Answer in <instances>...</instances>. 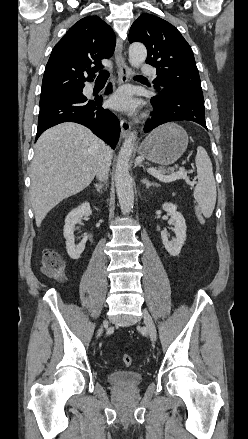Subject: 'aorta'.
<instances>
[{
  "instance_id": "aorta-1",
  "label": "aorta",
  "mask_w": 248,
  "mask_h": 439,
  "mask_svg": "<svg viewBox=\"0 0 248 439\" xmlns=\"http://www.w3.org/2000/svg\"><path fill=\"white\" fill-rule=\"evenodd\" d=\"M147 57V50L141 43H132L129 47V63L138 68ZM136 131H133L123 143L116 164L115 185L121 211L129 214L134 205L133 180L129 173V160L136 140Z\"/></svg>"
}]
</instances>
